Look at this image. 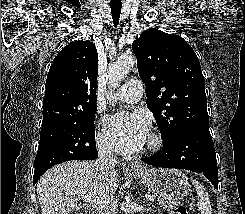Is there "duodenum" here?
<instances>
[{"label":"duodenum","instance_id":"duodenum-1","mask_svg":"<svg viewBox=\"0 0 245 214\" xmlns=\"http://www.w3.org/2000/svg\"><path fill=\"white\" fill-rule=\"evenodd\" d=\"M86 214H98V207L95 205L88 207Z\"/></svg>","mask_w":245,"mask_h":214}]
</instances>
